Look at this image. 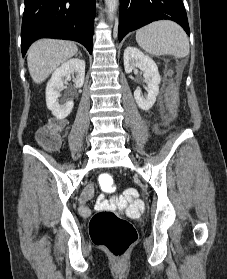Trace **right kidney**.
<instances>
[{"label":"right kidney","instance_id":"1","mask_svg":"<svg viewBox=\"0 0 227 279\" xmlns=\"http://www.w3.org/2000/svg\"><path fill=\"white\" fill-rule=\"evenodd\" d=\"M74 74H76L75 78ZM71 75L75 82V86L82 87L85 77L84 60L73 58L63 63L54 71L46 86V105L57 119L66 118L71 113L74 106L71 100L63 105H60L58 102L60 91L63 89L64 83L71 79Z\"/></svg>","mask_w":227,"mask_h":279}]
</instances>
